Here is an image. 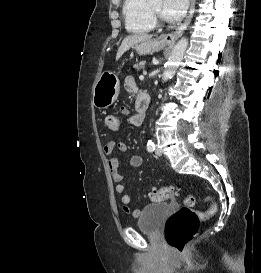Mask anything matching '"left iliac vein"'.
Segmentation results:
<instances>
[{
	"label": "left iliac vein",
	"mask_w": 261,
	"mask_h": 273,
	"mask_svg": "<svg viewBox=\"0 0 261 273\" xmlns=\"http://www.w3.org/2000/svg\"><path fill=\"white\" fill-rule=\"evenodd\" d=\"M155 153H156V155L161 156L162 155V150L158 146H156Z\"/></svg>",
	"instance_id": "left-iliac-vein-1"
}]
</instances>
